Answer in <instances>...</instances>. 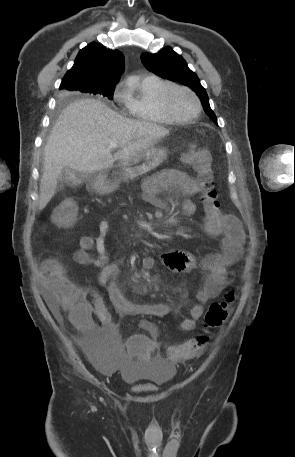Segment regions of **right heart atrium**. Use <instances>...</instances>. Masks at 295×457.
Listing matches in <instances>:
<instances>
[{"label":"right heart atrium","mask_w":295,"mask_h":457,"mask_svg":"<svg viewBox=\"0 0 295 457\" xmlns=\"http://www.w3.org/2000/svg\"><path fill=\"white\" fill-rule=\"evenodd\" d=\"M124 95L125 93L122 91V87L118 86L114 92L115 99L122 102L124 101Z\"/></svg>","instance_id":"obj_1"}]
</instances>
